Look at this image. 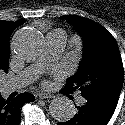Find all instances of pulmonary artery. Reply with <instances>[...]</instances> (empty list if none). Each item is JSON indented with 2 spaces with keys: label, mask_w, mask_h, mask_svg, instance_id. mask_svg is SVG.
<instances>
[{
  "label": "pulmonary artery",
  "mask_w": 125,
  "mask_h": 125,
  "mask_svg": "<svg viewBox=\"0 0 125 125\" xmlns=\"http://www.w3.org/2000/svg\"><path fill=\"white\" fill-rule=\"evenodd\" d=\"M66 46V35L62 30H54L46 34V48L41 60L36 64L26 68L16 76L7 80L3 84L6 93L21 89L36 80L39 73L43 70L45 62L54 61L60 57ZM82 97L78 98L79 104H84Z\"/></svg>",
  "instance_id": "e3ab8cb5"
}]
</instances>
